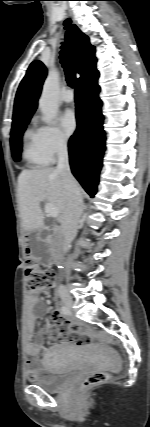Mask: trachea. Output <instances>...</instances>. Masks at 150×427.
I'll return each instance as SVG.
<instances>
[{"label": "trachea", "mask_w": 150, "mask_h": 427, "mask_svg": "<svg viewBox=\"0 0 150 427\" xmlns=\"http://www.w3.org/2000/svg\"><path fill=\"white\" fill-rule=\"evenodd\" d=\"M70 23V20L66 21V24L68 25ZM61 52H60V59H61V64L65 70V75H66V81L68 83V85L71 88H74L75 84H76V75H75V71L73 68V65L71 63V61L69 60L66 51L64 50V46H61Z\"/></svg>", "instance_id": "trachea-1"}]
</instances>
